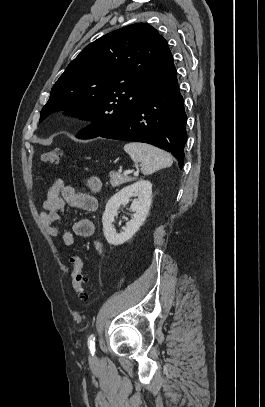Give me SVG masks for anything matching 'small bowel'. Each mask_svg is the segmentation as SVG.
<instances>
[{
  "label": "small bowel",
  "instance_id": "obj_1",
  "mask_svg": "<svg viewBox=\"0 0 265 407\" xmlns=\"http://www.w3.org/2000/svg\"><path fill=\"white\" fill-rule=\"evenodd\" d=\"M82 185L88 193L76 192L73 186L66 184L63 180L55 181L47 192L43 210L40 213V221L45 228L46 234L51 238L61 235L62 241L67 247L74 245V236L89 238L95 232L94 223L86 218L74 220L71 229L61 228L60 226L67 218V205L84 211L96 210L97 201L92 194L101 191V179L98 176H90ZM94 246L98 252H101L99 241H94Z\"/></svg>",
  "mask_w": 265,
  "mask_h": 407
}]
</instances>
